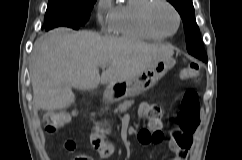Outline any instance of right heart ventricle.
Returning a JSON list of instances; mask_svg holds the SVG:
<instances>
[{
  "label": "right heart ventricle",
  "mask_w": 242,
  "mask_h": 160,
  "mask_svg": "<svg viewBox=\"0 0 242 160\" xmlns=\"http://www.w3.org/2000/svg\"><path fill=\"white\" fill-rule=\"evenodd\" d=\"M149 0H127L126 3L115 7L112 32L120 37L135 40H159L148 33L141 24V8Z\"/></svg>",
  "instance_id": "obj_1"
}]
</instances>
